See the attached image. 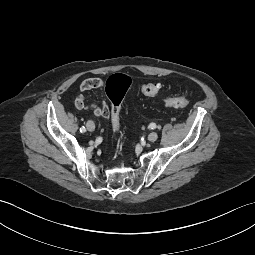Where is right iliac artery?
Listing matches in <instances>:
<instances>
[{
  "label": "right iliac artery",
  "mask_w": 255,
  "mask_h": 255,
  "mask_svg": "<svg viewBox=\"0 0 255 255\" xmlns=\"http://www.w3.org/2000/svg\"><path fill=\"white\" fill-rule=\"evenodd\" d=\"M86 131V128L84 127V126H82L81 128H80V132L81 133H84Z\"/></svg>",
  "instance_id": "obj_1"
}]
</instances>
